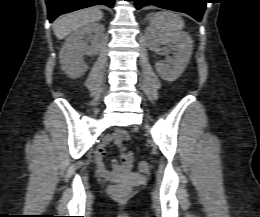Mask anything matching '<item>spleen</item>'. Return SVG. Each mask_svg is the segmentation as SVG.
Here are the masks:
<instances>
[{
    "instance_id": "1",
    "label": "spleen",
    "mask_w": 260,
    "mask_h": 217,
    "mask_svg": "<svg viewBox=\"0 0 260 217\" xmlns=\"http://www.w3.org/2000/svg\"><path fill=\"white\" fill-rule=\"evenodd\" d=\"M152 25L160 32L179 31L184 27L182 18L172 12L162 11L154 14L151 18Z\"/></svg>"
}]
</instances>
